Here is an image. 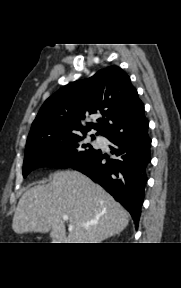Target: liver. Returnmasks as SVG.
I'll return each instance as SVG.
<instances>
[{"mask_svg": "<svg viewBox=\"0 0 181 288\" xmlns=\"http://www.w3.org/2000/svg\"><path fill=\"white\" fill-rule=\"evenodd\" d=\"M51 177L50 183L21 196L12 222L15 233L50 232L59 243H101L127 227V211L82 173L57 171ZM64 215L69 217L68 235Z\"/></svg>", "mask_w": 181, "mask_h": 288, "instance_id": "6515ba94", "label": "liver"}]
</instances>
